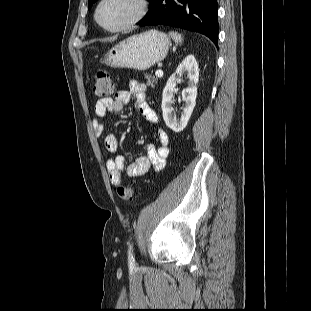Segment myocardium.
I'll list each match as a JSON object with an SVG mask.
<instances>
[{"label": "myocardium", "mask_w": 311, "mask_h": 311, "mask_svg": "<svg viewBox=\"0 0 311 311\" xmlns=\"http://www.w3.org/2000/svg\"><path fill=\"white\" fill-rule=\"evenodd\" d=\"M107 0H100L95 8V13L94 17L96 22L100 27H102L104 30L108 32H122L131 29L134 27L136 24H138L145 16L146 10H147V4L146 0H131L135 6V12L134 14L123 24L116 26V27H109L106 26L99 18V13L102 5L106 2Z\"/></svg>", "instance_id": "myocardium-1"}]
</instances>
